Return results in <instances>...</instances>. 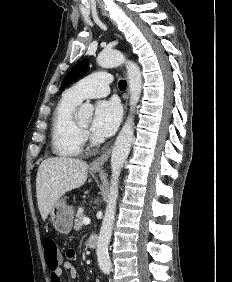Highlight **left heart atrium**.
Here are the masks:
<instances>
[{
	"instance_id": "1",
	"label": "left heart atrium",
	"mask_w": 232,
	"mask_h": 282,
	"mask_svg": "<svg viewBox=\"0 0 232 282\" xmlns=\"http://www.w3.org/2000/svg\"><path fill=\"white\" fill-rule=\"evenodd\" d=\"M122 117L120 103L115 100H101L96 104L92 131L99 136H111L119 126Z\"/></svg>"
}]
</instances>
